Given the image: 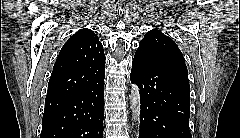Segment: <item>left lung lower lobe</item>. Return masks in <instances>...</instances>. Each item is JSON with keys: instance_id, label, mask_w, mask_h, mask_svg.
Returning <instances> with one entry per match:
<instances>
[{"instance_id": "left-lung-lower-lobe-1", "label": "left lung lower lobe", "mask_w": 240, "mask_h": 138, "mask_svg": "<svg viewBox=\"0 0 240 138\" xmlns=\"http://www.w3.org/2000/svg\"><path fill=\"white\" fill-rule=\"evenodd\" d=\"M140 89L139 138H192L190 86L186 64L134 56L130 74Z\"/></svg>"}]
</instances>
